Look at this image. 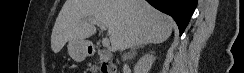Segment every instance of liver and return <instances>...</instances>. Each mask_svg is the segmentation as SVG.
<instances>
[{
    "label": "liver",
    "instance_id": "6515ba94",
    "mask_svg": "<svg viewBox=\"0 0 244 73\" xmlns=\"http://www.w3.org/2000/svg\"><path fill=\"white\" fill-rule=\"evenodd\" d=\"M89 19L105 25L113 52L163 43L175 25L171 17L144 0H66L52 30V51L58 53L67 42L94 35L96 28Z\"/></svg>",
    "mask_w": 244,
    "mask_h": 73
}]
</instances>
